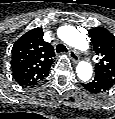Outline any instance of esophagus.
<instances>
[{"mask_svg":"<svg viewBox=\"0 0 115 119\" xmlns=\"http://www.w3.org/2000/svg\"><path fill=\"white\" fill-rule=\"evenodd\" d=\"M69 57L71 58V60L74 62V63H77L78 60H79V56H78V53L73 50V49H70L69 50Z\"/></svg>","mask_w":115,"mask_h":119,"instance_id":"34e87169","label":"esophagus"}]
</instances>
